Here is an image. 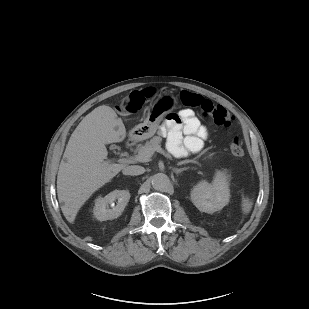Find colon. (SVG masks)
<instances>
[{"label": "colon", "mask_w": 309, "mask_h": 309, "mask_svg": "<svg viewBox=\"0 0 309 309\" xmlns=\"http://www.w3.org/2000/svg\"><path fill=\"white\" fill-rule=\"evenodd\" d=\"M153 90H150L148 97L152 96ZM181 102L184 106L198 110L204 117L213 119L214 123L229 127L232 123V116L226 108L221 105L214 104L211 100L206 99L198 94L182 91L180 94ZM143 104V97L140 94H132L126 101L124 107L127 111L136 112ZM229 150L234 156H242L244 154L243 141L239 136H235L230 145Z\"/></svg>", "instance_id": "5ec220e1"}]
</instances>
